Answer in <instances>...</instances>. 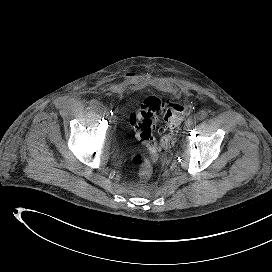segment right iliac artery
Masks as SVG:
<instances>
[{
	"mask_svg": "<svg viewBox=\"0 0 272 272\" xmlns=\"http://www.w3.org/2000/svg\"><path fill=\"white\" fill-rule=\"evenodd\" d=\"M100 104L96 100H91L89 103V108L97 110Z\"/></svg>",
	"mask_w": 272,
	"mask_h": 272,
	"instance_id": "obj_1",
	"label": "right iliac artery"
}]
</instances>
